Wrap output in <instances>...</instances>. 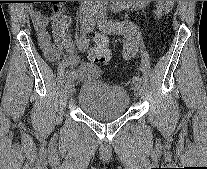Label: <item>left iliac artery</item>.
Returning <instances> with one entry per match:
<instances>
[{
    "label": "left iliac artery",
    "mask_w": 207,
    "mask_h": 169,
    "mask_svg": "<svg viewBox=\"0 0 207 169\" xmlns=\"http://www.w3.org/2000/svg\"><path fill=\"white\" fill-rule=\"evenodd\" d=\"M97 18L99 27L109 33L112 32L120 35H127V38H131L133 31H135V26H131L130 24L107 20L106 9L103 6L100 8ZM122 54H124L125 61H130V58H132L133 54H135V49L132 48V42H124ZM131 82L134 85L141 84L142 79L139 76H134Z\"/></svg>",
    "instance_id": "1"
}]
</instances>
